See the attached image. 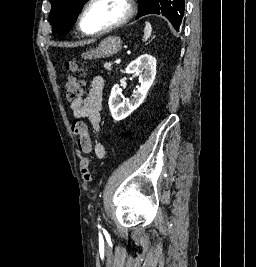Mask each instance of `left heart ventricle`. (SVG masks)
Here are the masks:
<instances>
[{"label": "left heart ventricle", "instance_id": "obj_1", "mask_svg": "<svg viewBox=\"0 0 256 267\" xmlns=\"http://www.w3.org/2000/svg\"><path fill=\"white\" fill-rule=\"evenodd\" d=\"M124 15L121 6L111 0L94 3L83 15V28L87 32H99L119 21Z\"/></svg>", "mask_w": 256, "mask_h": 267}]
</instances>
